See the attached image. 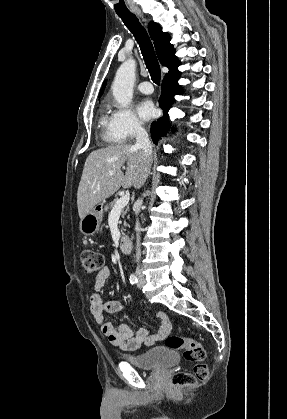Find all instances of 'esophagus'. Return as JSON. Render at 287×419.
Here are the masks:
<instances>
[{"instance_id": "1", "label": "esophagus", "mask_w": 287, "mask_h": 419, "mask_svg": "<svg viewBox=\"0 0 287 419\" xmlns=\"http://www.w3.org/2000/svg\"><path fill=\"white\" fill-rule=\"evenodd\" d=\"M137 15L143 17V14L140 11L137 12Z\"/></svg>"}]
</instances>
